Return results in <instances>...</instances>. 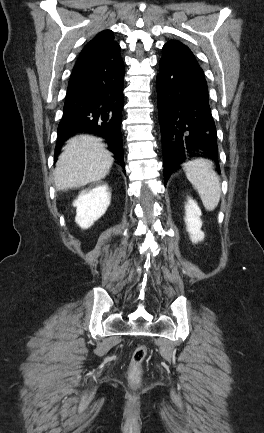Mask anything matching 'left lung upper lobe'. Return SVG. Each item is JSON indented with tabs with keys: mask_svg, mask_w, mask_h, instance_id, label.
Returning a JSON list of instances; mask_svg holds the SVG:
<instances>
[{
	"mask_svg": "<svg viewBox=\"0 0 264 433\" xmlns=\"http://www.w3.org/2000/svg\"><path fill=\"white\" fill-rule=\"evenodd\" d=\"M163 52H184L192 57H194L191 50L184 45L183 43L177 41V40H170L163 46ZM195 58V57H194Z\"/></svg>",
	"mask_w": 264,
	"mask_h": 433,
	"instance_id": "left-lung-upper-lobe-1",
	"label": "left lung upper lobe"
}]
</instances>
